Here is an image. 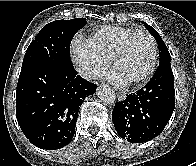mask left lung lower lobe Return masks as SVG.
<instances>
[{
  "instance_id": "1",
  "label": "left lung lower lobe",
  "mask_w": 196,
  "mask_h": 166,
  "mask_svg": "<svg viewBox=\"0 0 196 166\" xmlns=\"http://www.w3.org/2000/svg\"><path fill=\"white\" fill-rule=\"evenodd\" d=\"M171 63L159 64L143 89L115 104L112 121L117 133L129 142L142 143L158 136L175 108Z\"/></svg>"
}]
</instances>
